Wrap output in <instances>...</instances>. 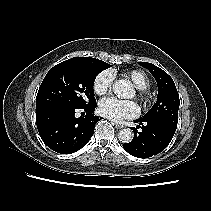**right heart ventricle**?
Listing matches in <instances>:
<instances>
[{"label": "right heart ventricle", "mask_w": 211, "mask_h": 211, "mask_svg": "<svg viewBox=\"0 0 211 211\" xmlns=\"http://www.w3.org/2000/svg\"><path fill=\"white\" fill-rule=\"evenodd\" d=\"M111 72L115 73V71ZM124 76L129 78L137 89H147L150 86L149 76L142 70H129L124 73Z\"/></svg>", "instance_id": "1"}]
</instances>
